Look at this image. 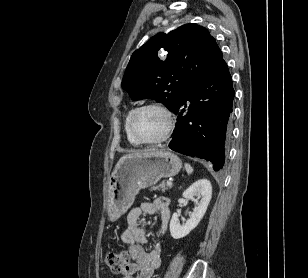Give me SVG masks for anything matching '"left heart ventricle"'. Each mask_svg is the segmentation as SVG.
Here are the masks:
<instances>
[{"mask_svg":"<svg viewBox=\"0 0 308 278\" xmlns=\"http://www.w3.org/2000/svg\"><path fill=\"white\" fill-rule=\"evenodd\" d=\"M133 125L136 133L141 137L156 139L165 132L167 120L160 110L147 108L136 114Z\"/></svg>","mask_w":308,"mask_h":278,"instance_id":"obj_1","label":"left heart ventricle"}]
</instances>
